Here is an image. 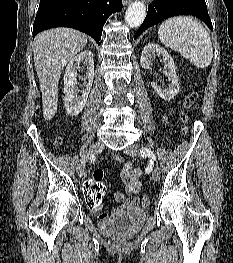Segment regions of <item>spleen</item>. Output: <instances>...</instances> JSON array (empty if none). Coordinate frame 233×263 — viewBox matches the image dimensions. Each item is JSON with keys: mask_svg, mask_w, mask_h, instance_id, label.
Returning <instances> with one entry per match:
<instances>
[{"mask_svg": "<svg viewBox=\"0 0 233 263\" xmlns=\"http://www.w3.org/2000/svg\"><path fill=\"white\" fill-rule=\"evenodd\" d=\"M158 37L166 47L180 53L197 68H207L213 58V47L207 30L191 16H177L164 21Z\"/></svg>", "mask_w": 233, "mask_h": 263, "instance_id": "3e777b00", "label": "spleen"}]
</instances>
